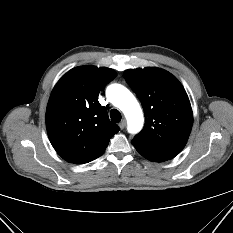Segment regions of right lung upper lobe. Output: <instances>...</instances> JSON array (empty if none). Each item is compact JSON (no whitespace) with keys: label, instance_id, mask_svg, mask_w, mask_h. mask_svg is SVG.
<instances>
[{"label":"right lung upper lobe","instance_id":"cb5924a9","mask_svg":"<svg viewBox=\"0 0 233 233\" xmlns=\"http://www.w3.org/2000/svg\"><path fill=\"white\" fill-rule=\"evenodd\" d=\"M115 77L110 68L80 66L55 85L46 109V127L52 146L67 162L84 164L98 158L120 130L98 101L100 90Z\"/></svg>","mask_w":233,"mask_h":233}]
</instances>
